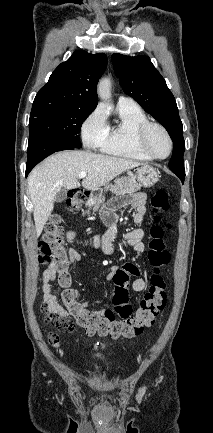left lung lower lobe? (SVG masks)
Here are the masks:
<instances>
[{
	"label": "left lung lower lobe",
	"instance_id": "obj_1",
	"mask_svg": "<svg viewBox=\"0 0 213 433\" xmlns=\"http://www.w3.org/2000/svg\"><path fill=\"white\" fill-rule=\"evenodd\" d=\"M177 176L180 178V180L182 181V183H184L185 175L178 174Z\"/></svg>",
	"mask_w": 213,
	"mask_h": 433
}]
</instances>
